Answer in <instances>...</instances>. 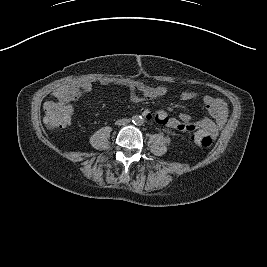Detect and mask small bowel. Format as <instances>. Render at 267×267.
Here are the masks:
<instances>
[{
  "label": "small bowel",
  "instance_id": "c3829d8e",
  "mask_svg": "<svg viewBox=\"0 0 267 267\" xmlns=\"http://www.w3.org/2000/svg\"><path fill=\"white\" fill-rule=\"evenodd\" d=\"M90 83H82L76 89L68 94H62L59 98L68 103L74 99L80 98L91 91ZM167 89L163 86L150 87L142 83H136L130 87L131 100L133 102H141L143 100H153L162 97L166 94ZM197 93L194 91H184L179 95L181 101H190L197 98ZM203 105L208 112L210 118H202L198 121H193V118L188 113H180L178 117H171L165 110H157L155 112L145 109L142 115L148 120L165 125L169 128L183 130V131H199L208 133L217 137L222 128L226 116L227 106L220 98H215L209 95L202 97Z\"/></svg>",
  "mask_w": 267,
  "mask_h": 267
}]
</instances>
